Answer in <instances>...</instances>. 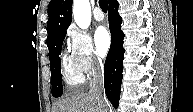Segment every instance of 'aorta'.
Wrapping results in <instances>:
<instances>
[{"instance_id":"762f6f07","label":"aorta","mask_w":193,"mask_h":112,"mask_svg":"<svg viewBox=\"0 0 193 112\" xmlns=\"http://www.w3.org/2000/svg\"><path fill=\"white\" fill-rule=\"evenodd\" d=\"M73 18L81 29H87L91 22V7L89 0H74Z\"/></svg>"}]
</instances>
